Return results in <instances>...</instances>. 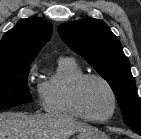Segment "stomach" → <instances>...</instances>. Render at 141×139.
I'll return each mask as SVG.
<instances>
[{
    "label": "stomach",
    "mask_w": 141,
    "mask_h": 139,
    "mask_svg": "<svg viewBox=\"0 0 141 139\" xmlns=\"http://www.w3.org/2000/svg\"><path fill=\"white\" fill-rule=\"evenodd\" d=\"M77 139H108V137L97 128L89 126L78 132Z\"/></svg>",
    "instance_id": "0dacf381"
}]
</instances>
